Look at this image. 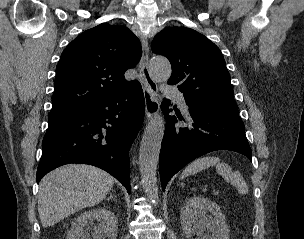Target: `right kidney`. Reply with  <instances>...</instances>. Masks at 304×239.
I'll return each mask as SVG.
<instances>
[{
    "mask_svg": "<svg viewBox=\"0 0 304 239\" xmlns=\"http://www.w3.org/2000/svg\"><path fill=\"white\" fill-rule=\"evenodd\" d=\"M96 221V223H94ZM88 229L84 230V226ZM118 221L106 208H94L83 212L72 221L67 239H116Z\"/></svg>",
    "mask_w": 304,
    "mask_h": 239,
    "instance_id": "1",
    "label": "right kidney"
}]
</instances>
